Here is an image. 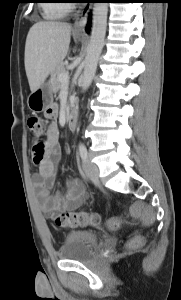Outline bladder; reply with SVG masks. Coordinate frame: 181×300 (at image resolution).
<instances>
[{
    "mask_svg": "<svg viewBox=\"0 0 181 300\" xmlns=\"http://www.w3.org/2000/svg\"><path fill=\"white\" fill-rule=\"evenodd\" d=\"M99 234L90 230L70 231L63 242L61 257L64 260H86L96 250Z\"/></svg>",
    "mask_w": 181,
    "mask_h": 300,
    "instance_id": "1",
    "label": "bladder"
}]
</instances>
